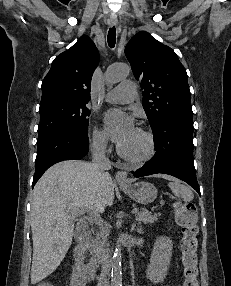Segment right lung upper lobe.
Wrapping results in <instances>:
<instances>
[{
    "mask_svg": "<svg viewBox=\"0 0 231 286\" xmlns=\"http://www.w3.org/2000/svg\"><path fill=\"white\" fill-rule=\"evenodd\" d=\"M99 53L88 36H82L58 55L42 83L40 106L57 101L88 102L91 78Z\"/></svg>",
    "mask_w": 231,
    "mask_h": 286,
    "instance_id": "1",
    "label": "right lung upper lobe"
}]
</instances>
